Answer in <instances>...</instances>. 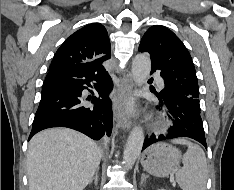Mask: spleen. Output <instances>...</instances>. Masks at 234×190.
Segmentation results:
<instances>
[{"mask_svg": "<svg viewBox=\"0 0 234 190\" xmlns=\"http://www.w3.org/2000/svg\"><path fill=\"white\" fill-rule=\"evenodd\" d=\"M172 143L186 145L183 167L176 172V181L182 190H206L207 161L203 149L187 139H174Z\"/></svg>", "mask_w": 234, "mask_h": 190, "instance_id": "spleen-1", "label": "spleen"}]
</instances>
